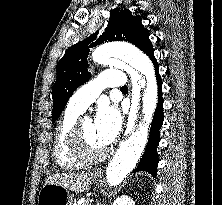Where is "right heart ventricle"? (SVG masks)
Masks as SVG:
<instances>
[{"label":"right heart ventricle","mask_w":222,"mask_h":205,"mask_svg":"<svg viewBox=\"0 0 222 205\" xmlns=\"http://www.w3.org/2000/svg\"><path fill=\"white\" fill-rule=\"evenodd\" d=\"M80 113L67 108L59 121L53 142V159L63 169H78L83 163L76 159L70 151L69 135Z\"/></svg>","instance_id":"1"}]
</instances>
